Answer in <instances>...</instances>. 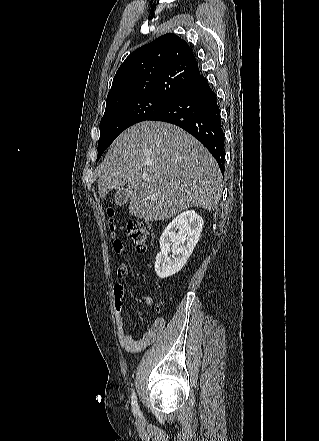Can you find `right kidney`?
I'll list each match as a JSON object with an SVG mask.
<instances>
[{"label": "right kidney", "mask_w": 319, "mask_h": 441, "mask_svg": "<svg viewBox=\"0 0 319 441\" xmlns=\"http://www.w3.org/2000/svg\"><path fill=\"white\" fill-rule=\"evenodd\" d=\"M203 224L202 217L193 210L181 213L168 224L160 237V252L155 260L158 277L167 278L183 268L199 241ZM170 246L172 259L168 256Z\"/></svg>", "instance_id": "ca27d5eb"}]
</instances>
